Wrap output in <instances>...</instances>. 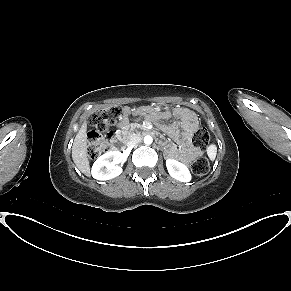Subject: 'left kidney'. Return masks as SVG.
Segmentation results:
<instances>
[{
  "label": "left kidney",
  "mask_w": 291,
  "mask_h": 291,
  "mask_svg": "<svg viewBox=\"0 0 291 291\" xmlns=\"http://www.w3.org/2000/svg\"><path fill=\"white\" fill-rule=\"evenodd\" d=\"M166 167L168 173L174 179L181 181V182H190L191 181V174L189 169L183 163L176 161L174 159H167L166 160Z\"/></svg>",
  "instance_id": "obj_1"
}]
</instances>
